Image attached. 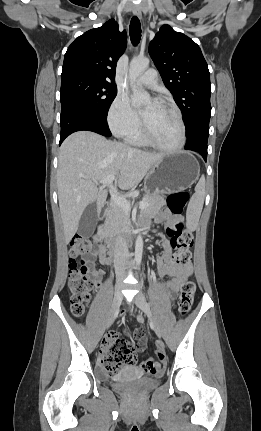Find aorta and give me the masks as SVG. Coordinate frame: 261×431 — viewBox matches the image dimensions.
I'll return each mask as SVG.
<instances>
[{
    "instance_id": "1",
    "label": "aorta",
    "mask_w": 261,
    "mask_h": 431,
    "mask_svg": "<svg viewBox=\"0 0 261 431\" xmlns=\"http://www.w3.org/2000/svg\"><path fill=\"white\" fill-rule=\"evenodd\" d=\"M148 58H134L130 63L129 78L130 86L133 92L132 101L135 105H144L149 101V94L146 91H142L136 85V79L143 73L149 66ZM143 253V239L141 235L137 236L135 243V261L141 262Z\"/></svg>"
}]
</instances>
